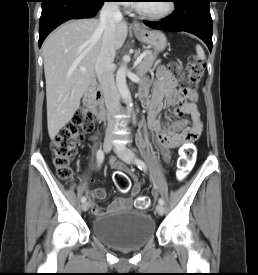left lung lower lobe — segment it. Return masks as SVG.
<instances>
[{
    "instance_id": "left-lung-lower-lobe-1",
    "label": "left lung lower lobe",
    "mask_w": 258,
    "mask_h": 275,
    "mask_svg": "<svg viewBox=\"0 0 258 275\" xmlns=\"http://www.w3.org/2000/svg\"><path fill=\"white\" fill-rule=\"evenodd\" d=\"M176 10L162 22L144 23L166 31H186L198 36L212 50V19L210 0H174Z\"/></svg>"
}]
</instances>
